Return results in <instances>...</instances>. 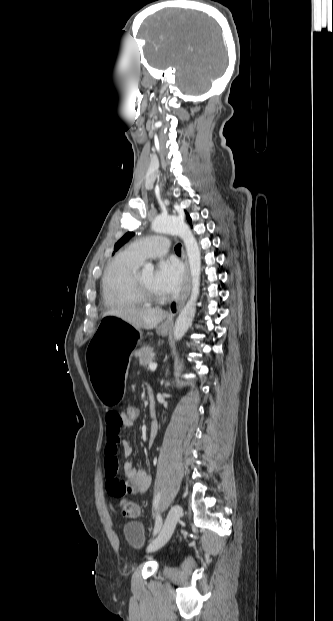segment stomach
Returning <instances> with one entry per match:
<instances>
[{
  "label": "stomach",
  "instance_id": "0dacf381",
  "mask_svg": "<svg viewBox=\"0 0 333 621\" xmlns=\"http://www.w3.org/2000/svg\"><path fill=\"white\" fill-rule=\"evenodd\" d=\"M142 335V330L131 325L126 316L117 314L103 318L87 343L86 373L109 413L116 412L123 401L128 387L125 377L129 355Z\"/></svg>",
  "mask_w": 333,
  "mask_h": 621
}]
</instances>
